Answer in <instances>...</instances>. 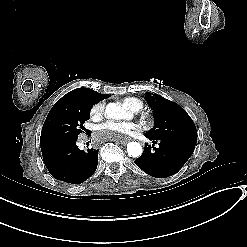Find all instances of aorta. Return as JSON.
I'll list each match as a JSON object with an SVG mask.
<instances>
[{"instance_id": "1", "label": "aorta", "mask_w": 247, "mask_h": 247, "mask_svg": "<svg viewBox=\"0 0 247 247\" xmlns=\"http://www.w3.org/2000/svg\"><path fill=\"white\" fill-rule=\"evenodd\" d=\"M105 114L110 119H124L127 117L126 108L117 103H109L106 106ZM142 146L138 142L127 144V153L130 157H139L142 154Z\"/></svg>"}]
</instances>
